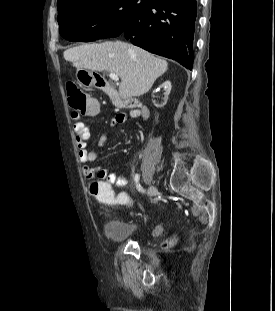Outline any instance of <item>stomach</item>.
I'll return each instance as SVG.
<instances>
[{
  "label": "stomach",
  "instance_id": "0dacf381",
  "mask_svg": "<svg viewBox=\"0 0 275 311\" xmlns=\"http://www.w3.org/2000/svg\"><path fill=\"white\" fill-rule=\"evenodd\" d=\"M76 78L79 84H81L84 87H93L96 84H94L92 80L91 71L87 69H77L76 71Z\"/></svg>",
  "mask_w": 275,
  "mask_h": 311
}]
</instances>
